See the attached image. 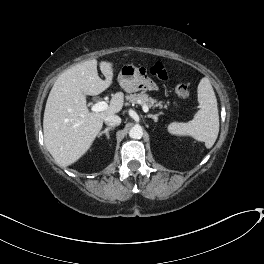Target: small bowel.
<instances>
[{
	"mask_svg": "<svg viewBox=\"0 0 264 264\" xmlns=\"http://www.w3.org/2000/svg\"><path fill=\"white\" fill-rule=\"evenodd\" d=\"M149 89L150 90H154L155 89V86L154 85H149Z\"/></svg>",
	"mask_w": 264,
	"mask_h": 264,
	"instance_id": "small-bowel-1",
	"label": "small bowel"
}]
</instances>
